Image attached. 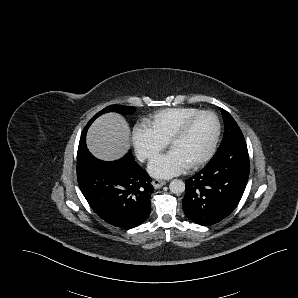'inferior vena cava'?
<instances>
[{
	"mask_svg": "<svg viewBox=\"0 0 298 298\" xmlns=\"http://www.w3.org/2000/svg\"><path fill=\"white\" fill-rule=\"evenodd\" d=\"M145 155H141V161L143 160V159H145Z\"/></svg>",
	"mask_w": 298,
	"mask_h": 298,
	"instance_id": "inferior-vena-cava-1",
	"label": "inferior vena cava"
}]
</instances>
